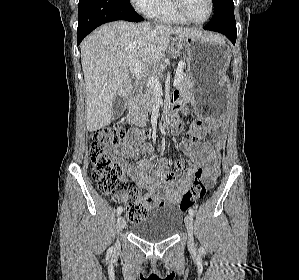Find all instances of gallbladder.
Listing matches in <instances>:
<instances>
[{
	"mask_svg": "<svg viewBox=\"0 0 299 280\" xmlns=\"http://www.w3.org/2000/svg\"><path fill=\"white\" fill-rule=\"evenodd\" d=\"M123 108V98L117 96L113 102L112 110H113V119H117L121 113Z\"/></svg>",
	"mask_w": 299,
	"mask_h": 280,
	"instance_id": "1",
	"label": "gallbladder"
}]
</instances>
